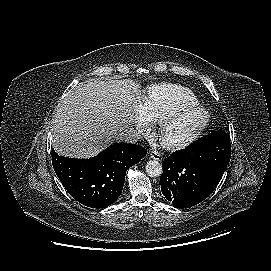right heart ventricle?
<instances>
[{"instance_id":"e07e8e85","label":"right heart ventricle","mask_w":271,"mask_h":271,"mask_svg":"<svg viewBox=\"0 0 271 271\" xmlns=\"http://www.w3.org/2000/svg\"><path fill=\"white\" fill-rule=\"evenodd\" d=\"M199 103V98L187 87L177 84H157L148 88L142 103V111L150 123H159L165 115Z\"/></svg>"}]
</instances>
